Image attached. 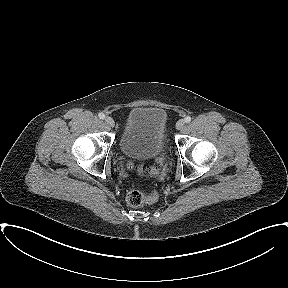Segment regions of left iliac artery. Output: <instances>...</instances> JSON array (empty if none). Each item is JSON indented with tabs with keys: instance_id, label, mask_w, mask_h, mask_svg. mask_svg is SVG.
<instances>
[{
	"instance_id": "44dca946",
	"label": "left iliac artery",
	"mask_w": 288,
	"mask_h": 288,
	"mask_svg": "<svg viewBox=\"0 0 288 288\" xmlns=\"http://www.w3.org/2000/svg\"><path fill=\"white\" fill-rule=\"evenodd\" d=\"M184 121H185L186 123H189V122L191 121V117H190V116L185 117Z\"/></svg>"
}]
</instances>
